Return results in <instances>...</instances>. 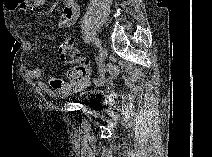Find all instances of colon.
<instances>
[{"label":"colon","mask_w":212,"mask_h":157,"mask_svg":"<svg viewBox=\"0 0 212 157\" xmlns=\"http://www.w3.org/2000/svg\"><path fill=\"white\" fill-rule=\"evenodd\" d=\"M59 56L64 63L76 66L74 76L77 79L83 80L88 77L89 68L73 40L65 39L61 42L59 45Z\"/></svg>","instance_id":"5ec220e1"}]
</instances>
